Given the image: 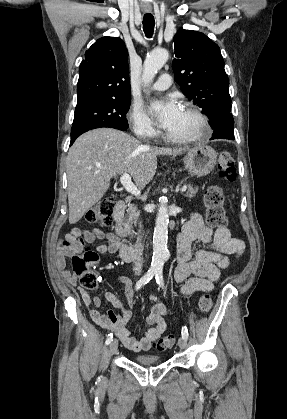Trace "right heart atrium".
Listing matches in <instances>:
<instances>
[{
  "instance_id": "obj_1",
  "label": "right heart atrium",
  "mask_w": 287,
  "mask_h": 419,
  "mask_svg": "<svg viewBox=\"0 0 287 419\" xmlns=\"http://www.w3.org/2000/svg\"><path fill=\"white\" fill-rule=\"evenodd\" d=\"M128 119L133 132L137 136L151 139L157 135V130L153 121L140 104L135 103L132 105L128 114Z\"/></svg>"
}]
</instances>
